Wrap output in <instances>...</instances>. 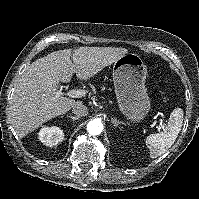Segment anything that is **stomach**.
I'll use <instances>...</instances> for the list:
<instances>
[{
	"label": "stomach",
	"mask_w": 199,
	"mask_h": 199,
	"mask_svg": "<svg viewBox=\"0 0 199 199\" xmlns=\"http://www.w3.org/2000/svg\"><path fill=\"white\" fill-rule=\"evenodd\" d=\"M147 68L134 53H126L113 65V81L120 111L132 122L142 121L151 103L145 87Z\"/></svg>",
	"instance_id": "obj_1"
}]
</instances>
